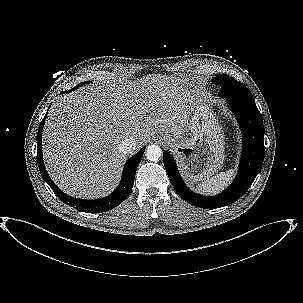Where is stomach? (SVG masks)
Instances as JSON below:
<instances>
[{"label": "stomach", "mask_w": 303, "mask_h": 303, "mask_svg": "<svg viewBox=\"0 0 303 303\" xmlns=\"http://www.w3.org/2000/svg\"><path fill=\"white\" fill-rule=\"evenodd\" d=\"M168 141L178 158L180 169L189 182L202 181L221 169L224 154V136L210 108L202 101L194 108L186 131L180 138L160 133Z\"/></svg>", "instance_id": "0dacf381"}]
</instances>
